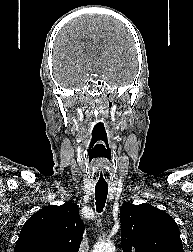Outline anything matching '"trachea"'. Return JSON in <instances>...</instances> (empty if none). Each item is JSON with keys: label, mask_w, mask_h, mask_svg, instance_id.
I'll return each instance as SVG.
<instances>
[{"label": "trachea", "mask_w": 193, "mask_h": 252, "mask_svg": "<svg viewBox=\"0 0 193 252\" xmlns=\"http://www.w3.org/2000/svg\"><path fill=\"white\" fill-rule=\"evenodd\" d=\"M108 194V184H96L95 186V199L96 209L101 212L105 206Z\"/></svg>", "instance_id": "trachea-1"}]
</instances>
